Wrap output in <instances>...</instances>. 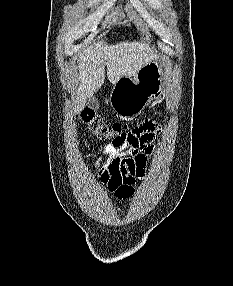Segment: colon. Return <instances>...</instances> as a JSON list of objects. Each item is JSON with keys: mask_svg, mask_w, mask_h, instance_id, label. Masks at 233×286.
Instances as JSON below:
<instances>
[{"mask_svg": "<svg viewBox=\"0 0 233 286\" xmlns=\"http://www.w3.org/2000/svg\"><path fill=\"white\" fill-rule=\"evenodd\" d=\"M83 122L90 133L102 141L117 140L123 136H129L140 132L143 123L129 129L126 124L120 122H107L101 115L91 110H84L81 114Z\"/></svg>", "mask_w": 233, "mask_h": 286, "instance_id": "colon-1", "label": "colon"}]
</instances>
